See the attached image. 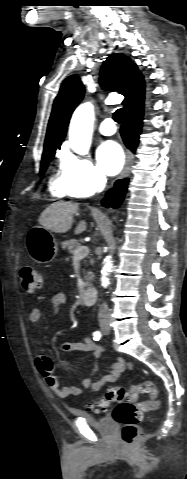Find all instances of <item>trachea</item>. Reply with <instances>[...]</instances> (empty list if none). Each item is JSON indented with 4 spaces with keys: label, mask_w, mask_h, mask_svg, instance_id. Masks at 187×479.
<instances>
[{
    "label": "trachea",
    "mask_w": 187,
    "mask_h": 479,
    "mask_svg": "<svg viewBox=\"0 0 187 479\" xmlns=\"http://www.w3.org/2000/svg\"><path fill=\"white\" fill-rule=\"evenodd\" d=\"M123 116H124V109L119 108L113 113V119L117 123H122L123 122Z\"/></svg>",
    "instance_id": "trachea-1"
}]
</instances>
